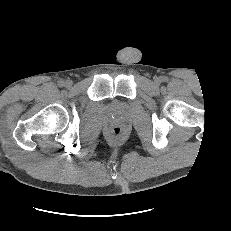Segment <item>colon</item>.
<instances>
[{
  "label": "colon",
  "instance_id": "obj_1",
  "mask_svg": "<svg viewBox=\"0 0 231 231\" xmlns=\"http://www.w3.org/2000/svg\"><path fill=\"white\" fill-rule=\"evenodd\" d=\"M122 133V130L121 128L119 127H115L113 130H112V134L114 137H119Z\"/></svg>",
  "mask_w": 231,
  "mask_h": 231
}]
</instances>
